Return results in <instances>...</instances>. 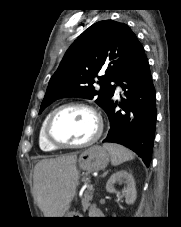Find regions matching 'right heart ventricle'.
Listing matches in <instances>:
<instances>
[{
    "instance_id": "obj_1",
    "label": "right heart ventricle",
    "mask_w": 181,
    "mask_h": 227,
    "mask_svg": "<svg viewBox=\"0 0 181 227\" xmlns=\"http://www.w3.org/2000/svg\"><path fill=\"white\" fill-rule=\"evenodd\" d=\"M49 115L50 113L46 115L39 130V146L45 152H53L58 149L57 147L53 146L45 137V125Z\"/></svg>"
}]
</instances>
